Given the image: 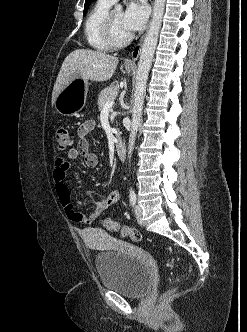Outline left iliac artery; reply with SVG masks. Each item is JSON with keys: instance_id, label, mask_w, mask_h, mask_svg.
I'll use <instances>...</instances> for the list:
<instances>
[{"instance_id": "left-iliac-artery-1", "label": "left iliac artery", "mask_w": 247, "mask_h": 332, "mask_svg": "<svg viewBox=\"0 0 247 332\" xmlns=\"http://www.w3.org/2000/svg\"><path fill=\"white\" fill-rule=\"evenodd\" d=\"M129 200H130V204H131L132 206H134L135 203H136V194H135V192H134L133 190H130V193H129Z\"/></svg>"}]
</instances>
